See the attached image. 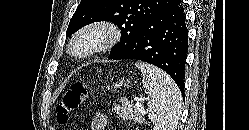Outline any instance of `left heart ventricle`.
<instances>
[{
    "mask_svg": "<svg viewBox=\"0 0 249 130\" xmlns=\"http://www.w3.org/2000/svg\"><path fill=\"white\" fill-rule=\"evenodd\" d=\"M93 41V38H87L79 43L76 44L75 50L76 51H82L88 44H90Z\"/></svg>",
    "mask_w": 249,
    "mask_h": 130,
    "instance_id": "left-heart-ventricle-1",
    "label": "left heart ventricle"
}]
</instances>
